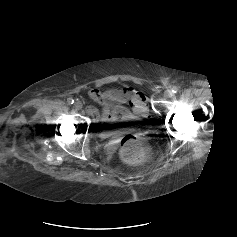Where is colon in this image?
<instances>
[{"label": "colon", "mask_w": 237, "mask_h": 237, "mask_svg": "<svg viewBox=\"0 0 237 237\" xmlns=\"http://www.w3.org/2000/svg\"><path fill=\"white\" fill-rule=\"evenodd\" d=\"M150 154L147 141L140 135H126L121 142V157L127 163H141Z\"/></svg>", "instance_id": "colon-1"}]
</instances>
